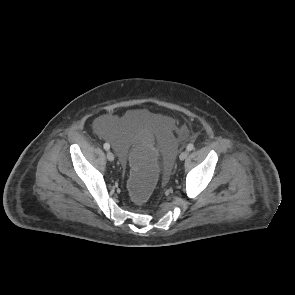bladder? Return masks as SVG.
Instances as JSON below:
<instances>
[{"mask_svg": "<svg viewBox=\"0 0 295 295\" xmlns=\"http://www.w3.org/2000/svg\"><path fill=\"white\" fill-rule=\"evenodd\" d=\"M138 120H147L152 125L153 137L160 148L158 158L161 161V173L166 176L170 175L173 170L172 162L176 160V151L179 147L178 140L171 136V119L160 114L136 111L128 113L119 123L113 116L103 115L95 120L94 129L99 135L106 137L117 146L116 150L120 153L118 156L120 165L127 169L131 165L130 147L134 142L132 140V126Z\"/></svg>", "mask_w": 295, "mask_h": 295, "instance_id": "1", "label": "bladder"}]
</instances>
